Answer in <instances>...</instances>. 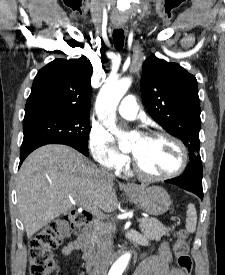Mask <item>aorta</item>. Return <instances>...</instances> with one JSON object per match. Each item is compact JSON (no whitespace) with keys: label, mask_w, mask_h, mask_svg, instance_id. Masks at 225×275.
<instances>
[{"label":"aorta","mask_w":225,"mask_h":275,"mask_svg":"<svg viewBox=\"0 0 225 275\" xmlns=\"http://www.w3.org/2000/svg\"><path fill=\"white\" fill-rule=\"evenodd\" d=\"M131 82V78L127 77L119 80L108 79L102 86L95 105L99 119L118 137L120 148L129 146L131 137L119 131L116 127L115 112L121 98L129 89ZM130 256V253L122 255L111 267L109 275H122L129 263Z\"/></svg>","instance_id":"aorta-1"}]
</instances>
